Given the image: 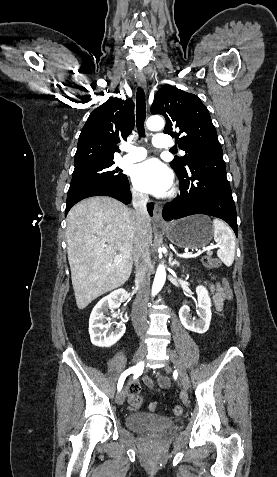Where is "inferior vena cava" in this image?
Masks as SVG:
<instances>
[{
    "label": "inferior vena cava",
    "mask_w": 277,
    "mask_h": 477,
    "mask_svg": "<svg viewBox=\"0 0 277 477\" xmlns=\"http://www.w3.org/2000/svg\"><path fill=\"white\" fill-rule=\"evenodd\" d=\"M149 197L146 194L133 193V216L135 220V284L137 296L132 310V324L138 335H142L146 329V308L150 294L151 260L149 243L147 240V228L150 222L147 211Z\"/></svg>",
    "instance_id": "602c4592"
}]
</instances>
